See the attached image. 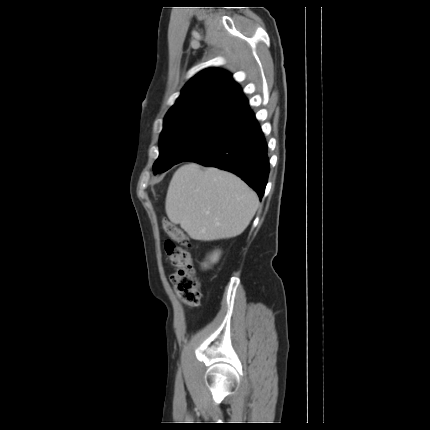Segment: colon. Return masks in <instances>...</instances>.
I'll list each match as a JSON object with an SVG mask.
<instances>
[{"instance_id": "colon-1", "label": "colon", "mask_w": 430, "mask_h": 430, "mask_svg": "<svg viewBox=\"0 0 430 430\" xmlns=\"http://www.w3.org/2000/svg\"><path fill=\"white\" fill-rule=\"evenodd\" d=\"M163 230L169 237L164 244L166 255L171 264L176 267L171 274V282L186 305L198 306L201 291L188 250L190 240L181 229L169 221L163 222Z\"/></svg>"}]
</instances>
